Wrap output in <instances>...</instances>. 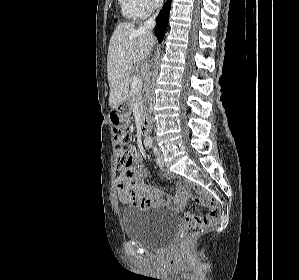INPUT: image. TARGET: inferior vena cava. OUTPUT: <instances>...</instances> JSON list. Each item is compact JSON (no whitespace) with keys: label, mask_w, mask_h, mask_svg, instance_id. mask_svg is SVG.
Here are the masks:
<instances>
[{"label":"inferior vena cava","mask_w":299,"mask_h":280,"mask_svg":"<svg viewBox=\"0 0 299 280\" xmlns=\"http://www.w3.org/2000/svg\"><path fill=\"white\" fill-rule=\"evenodd\" d=\"M162 0H159V7L161 6ZM157 14L154 15L153 17H151L150 19H148L147 21L144 22L143 28L145 30H152L155 26V18H156ZM151 109V108H150Z\"/></svg>","instance_id":"inferior-vena-cava-1"}]
</instances>
